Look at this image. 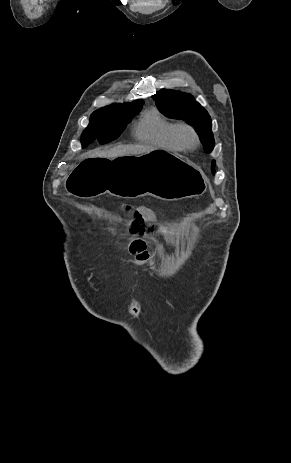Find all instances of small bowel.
Here are the masks:
<instances>
[{"instance_id":"obj_1","label":"small bowel","mask_w":291,"mask_h":463,"mask_svg":"<svg viewBox=\"0 0 291 463\" xmlns=\"http://www.w3.org/2000/svg\"><path fill=\"white\" fill-rule=\"evenodd\" d=\"M130 216V239L126 245V251L135 257L139 265H145L149 261L150 253L146 242V235L156 238L164 232V227L158 222L166 212L138 208L128 211ZM148 220L151 225L147 229L144 221Z\"/></svg>"}]
</instances>
